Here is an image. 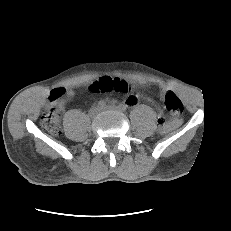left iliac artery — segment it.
I'll return each instance as SVG.
<instances>
[{"instance_id":"44dca946","label":"left iliac artery","mask_w":231,"mask_h":231,"mask_svg":"<svg viewBox=\"0 0 231 231\" xmlns=\"http://www.w3.org/2000/svg\"><path fill=\"white\" fill-rule=\"evenodd\" d=\"M122 111H125L127 109V105L124 103H120L118 106Z\"/></svg>"}]
</instances>
